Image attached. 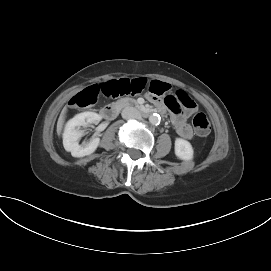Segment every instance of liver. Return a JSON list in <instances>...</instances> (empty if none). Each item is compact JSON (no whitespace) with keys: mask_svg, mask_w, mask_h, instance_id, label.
Listing matches in <instances>:
<instances>
[{"mask_svg":"<svg viewBox=\"0 0 271 271\" xmlns=\"http://www.w3.org/2000/svg\"><path fill=\"white\" fill-rule=\"evenodd\" d=\"M66 111H67V107H65L59 117V120H58V123H57V133L58 135H60L61 131H62V127H63V124H64V120H65V114H66Z\"/></svg>","mask_w":271,"mask_h":271,"instance_id":"obj_1","label":"liver"}]
</instances>
